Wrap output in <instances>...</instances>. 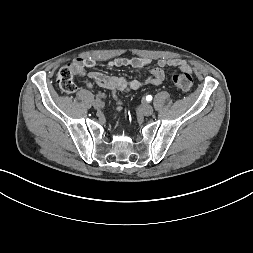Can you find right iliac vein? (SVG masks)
Listing matches in <instances>:
<instances>
[{"label": "right iliac vein", "instance_id": "obj_1", "mask_svg": "<svg viewBox=\"0 0 253 253\" xmlns=\"http://www.w3.org/2000/svg\"><path fill=\"white\" fill-rule=\"evenodd\" d=\"M93 107H94L96 110H100V109L102 108V102H101V100L96 99V100L93 102Z\"/></svg>", "mask_w": 253, "mask_h": 253}]
</instances>
